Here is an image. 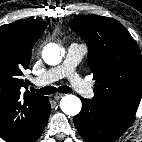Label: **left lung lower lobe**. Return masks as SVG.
<instances>
[{
	"instance_id": "1",
	"label": "left lung lower lobe",
	"mask_w": 142,
	"mask_h": 142,
	"mask_svg": "<svg viewBox=\"0 0 142 142\" xmlns=\"http://www.w3.org/2000/svg\"><path fill=\"white\" fill-rule=\"evenodd\" d=\"M83 107L74 124L86 142H114L131 124L119 120L91 99L81 98Z\"/></svg>"
}]
</instances>
